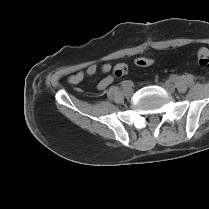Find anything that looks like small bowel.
<instances>
[{
    "label": "small bowel",
    "instance_id": "obj_1",
    "mask_svg": "<svg viewBox=\"0 0 209 209\" xmlns=\"http://www.w3.org/2000/svg\"><path fill=\"white\" fill-rule=\"evenodd\" d=\"M110 69H111V65L108 64V63H106V64H104V65L102 66V71H103L104 73L109 72ZM95 72H96V67H95V66H91V67H89V68L87 69L86 74H87L88 76H92V75L95 74ZM109 83H110V79L106 78V79H104V80H102V81L100 82V84H99L98 87H99V89L103 90V89H105V88L108 86Z\"/></svg>",
    "mask_w": 209,
    "mask_h": 209
}]
</instances>
